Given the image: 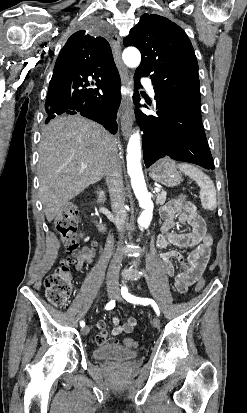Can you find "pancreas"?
I'll list each match as a JSON object with an SVG mask.
<instances>
[{
    "instance_id": "1",
    "label": "pancreas",
    "mask_w": 247,
    "mask_h": 413,
    "mask_svg": "<svg viewBox=\"0 0 247 413\" xmlns=\"http://www.w3.org/2000/svg\"><path fill=\"white\" fill-rule=\"evenodd\" d=\"M166 196H167V192L166 190H162V192H158V194H156V204H164L165 200H166Z\"/></svg>"
}]
</instances>
